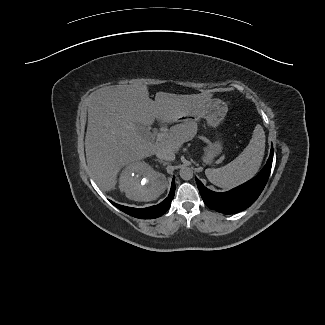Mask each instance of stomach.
I'll list each match as a JSON object with an SVG mask.
<instances>
[{"label": "stomach", "mask_w": 325, "mask_h": 325, "mask_svg": "<svg viewBox=\"0 0 325 325\" xmlns=\"http://www.w3.org/2000/svg\"><path fill=\"white\" fill-rule=\"evenodd\" d=\"M228 111L227 104L220 99H211L202 104L192 113L182 116L179 119L185 123L196 122L200 118L206 119L208 125L216 128L223 122ZM222 151V145L219 141L209 145L204 149L203 161L211 164L216 156Z\"/></svg>", "instance_id": "obj_1"}]
</instances>
